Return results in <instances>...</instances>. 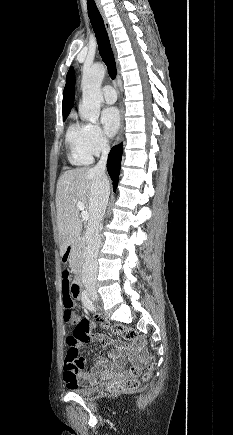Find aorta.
Listing matches in <instances>:
<instances>
[{
    "instance_id": "obj_1",
    "label": "aorta",
    "mask_w": 233,
    "mask_h": 435,
    "mask_svg": "<svg viewBox=\"0 0 233 435\" xmlns=\"http://www.w3.org/2000/svg\"><path fill=\"white\" fill-rule=\"evenodd\" d=\"M105 76L102 64H95L83 70L81 81L82 103L79 107L80 116L91 123H97L100 107L103 102L101 84Z\"/></svg>"
}]
</instances>
